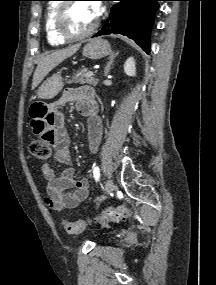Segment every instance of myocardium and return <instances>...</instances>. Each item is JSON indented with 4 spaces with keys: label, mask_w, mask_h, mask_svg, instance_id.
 Returning a JSON list of instances; mask_svg holds the SVG:
<instances>
[{
    "label": "myocardium",
    "mask_w": 216,
    "mask_h": 285,
    "mask_svg": "<svg viewBox=\"0 0 216 285\" xmlns=\"http://www.w3.org/2000/svg\"><path fill=\"white\" fill-rule=\"evenodd\" d=\"M76 2H64L60 5L55 17V29L57 34L66 41H77L91 36L99 26V17L90 29L82 33H73L68 25L69 12Z\"/></svg>",
    "instance_id": "1"
}]
</instances>
